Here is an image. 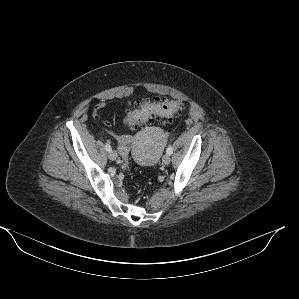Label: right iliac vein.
Here are the masks:
<instances>
[{
    "instance_id": "63e3f726",
    "label": "right iliac vein",
    "mask_w": 299,
    "mask_h": 299,
    "mask_svg": "<svg viewBox=\"0 0 299 299\" xmlns=\"http://www.w3.org/2000/svg\"><path fill=\"white\" fill-rule=\"evenodd\" d=\"M108 156H109V159L112 160V161H115L118 157L117 153L115 151H112V150L109 152Z\"/></svg>"
}]
</instances>
